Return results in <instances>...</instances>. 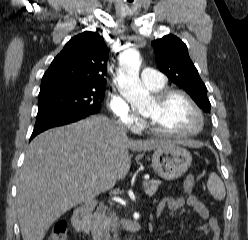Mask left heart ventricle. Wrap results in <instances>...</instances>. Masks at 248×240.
Listing matches in <instances>:
<instances>
[{
    "label": "left heart ventricle",
    "mask_w": 248,
    "mask_h": 240,
    "mask_svg": "<svg viewBox=\"0 0 248 240\" xmlns=\"http://www.w3.org/2000/svg\"><path fill=\"white\" fill-rule=\"evenodd\" d=\"M155 127L172 132H188L199 124L198 117L189 102L180 95L171 96L159 106L153 98L144 111Z\"/></svg>",
    "instance_id": "1"
}]
</instances>
